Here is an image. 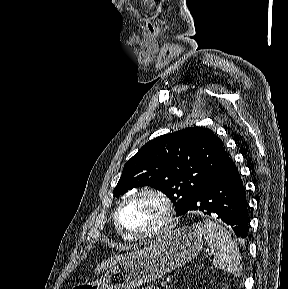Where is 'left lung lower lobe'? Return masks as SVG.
Wrapping results in <instances>:
<instances>
[{
	"instance_id": "obj_1",
	"label": "left lung lower lobe",
	"mask_w": 288,
	"mask_h": 289,
	"mask_svg": "<svg viewBox=\"0 0 288 289\" xmlns=\"http://www.w3.org/2000/svg\"><path fill=\"white\" fill-rule=\"evenodd\" d=\"M193 210L216 216L230 225L237 237H247L249 220L245 190L229 156L184 213Z\"/></svg>"
}]
</instances>
